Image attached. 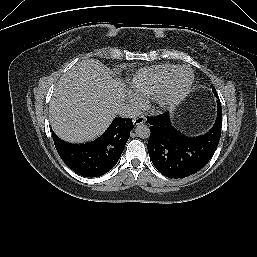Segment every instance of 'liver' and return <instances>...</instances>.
I'll return each mask as SVG.
<instances>
[{
	"label": "liver",
	"instance_id": "6515ba94",
	"mask_svg": "<svg viewBox=\"0 0 257 257\" xmlns=\"http://www.w3.org/2000/svg\"><path fill=\"white\" fill-rule=\"evenodd\" d=\"M124 96L121 82L99 60L78 62L56 84L49 107L51 127L67 142L92 140L110 125Z\"/></svg>",
	"mask_w": 257,
	"mask_h": 257
}]
</instances>
